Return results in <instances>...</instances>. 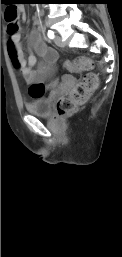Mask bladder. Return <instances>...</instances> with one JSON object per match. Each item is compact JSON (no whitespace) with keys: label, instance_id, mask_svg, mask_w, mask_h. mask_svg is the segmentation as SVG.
Wrapping results in <instances>:
<instances>
[{"label":"bladder","instance_id":"31cf9c89","mask_svg":"<svg viewBox=\"0 0 122 257\" xmlns=\"http://www.w3.org/2000/svg\"><path fill=\"white\" fill-rule=\"evenodd\" d=\"M28 113L36 116H47L52 110L51 97H37L26 105Z\"/></svg>","mask_w":122,"mask_h":257}]
</instances>
